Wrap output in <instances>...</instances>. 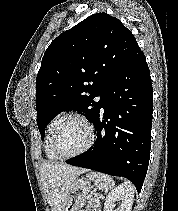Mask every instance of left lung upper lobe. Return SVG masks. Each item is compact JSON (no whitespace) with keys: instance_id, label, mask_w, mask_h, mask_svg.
I'll return each mask as SVG.
<instances>
[{"instance_id":"1","label":"left lung upper lobe","mask_w":178,"mask_h":211,"mask_svg":"<svg viewBox=\"0 0 178 211\" xmlns=\"http://www.w3.org/2000/svg\"><path fill=\"white\" fill-rule=\"evenodd\" d=\"M137 45L131 31L106 13L93 14L56 37L44 53L36 79L41 137L60 111L85 112L94 123L107 86Z\"/></svg>"}]
</instances>
